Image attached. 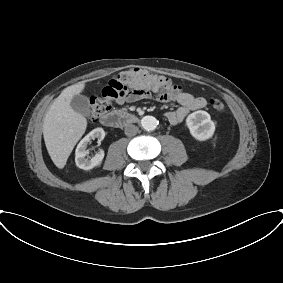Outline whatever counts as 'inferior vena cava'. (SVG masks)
I'll return each mask as SVG.
<instances>
[{
    "label": "inferior vena cava",
    "instance_id": "inferior-vena-cava-1",
    "mask_svg": "<svg viewBox=\"0 0 283 283\" xmlns=\"http://www.w3.org/2000/svg\"><path fill=\"white\" fill-rule=\"evenodd\" d=\"M124 132L125 135L129 137L135 136L138 133V127L133 124H129L125 127Z\"/></svg>",
    "mask_w": 283,
    "mask_h": 283
}]
</instances>
